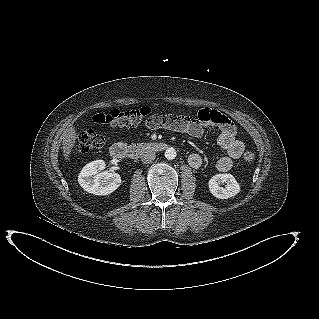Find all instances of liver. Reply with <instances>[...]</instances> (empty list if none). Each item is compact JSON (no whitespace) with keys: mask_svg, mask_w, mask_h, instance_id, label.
<instances>
[{"mask_svg":"<svg viewBox=\"0 0 319 319\" xmlns=\"http://www.w3.org/2000/svg\"><path fill=\"white\" fill-rule=\"evenodd\" d=\"M77 139V132L75 128L69 127L66 129V131L63 134V141H62V148H63V155L65 157V160L70 159V154L72 151V148L75 145Z\"/></svg>","mask_w":319,"mask_h":319,"instance_id":"obj_1","label":"liver"}]
</instances>
